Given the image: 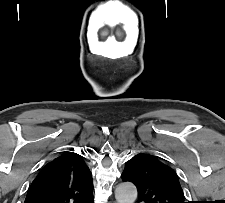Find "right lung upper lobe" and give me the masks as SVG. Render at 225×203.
Segmentation results:
<instances>
[{
  "label": "right lung upper lobe",
  "mask_w": 225,
  "mask_h": 203,
  "mask_svg": "<svg viewBox=\"0 0 225 203\" xmlns=\"http://www.w3.org/2000/svg\"><path fill=\"white\" fill-rule=\"evenodd\" d=\"M92 174L74 152L47 163L28 189L25 203H92Z\"/></svg>",
  "instance_id": "cb5924a9"
}]
</instances>
